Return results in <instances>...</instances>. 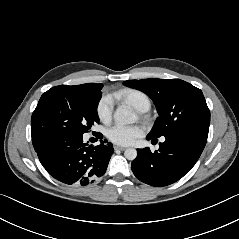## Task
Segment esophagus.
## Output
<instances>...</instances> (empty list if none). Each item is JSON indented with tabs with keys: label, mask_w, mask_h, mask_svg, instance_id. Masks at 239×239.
Masks as SVG:
<instances>
[{
	"label": "esophagus",
	"mask_w": 239,
	"mask_h": 239,
	"mask_svg": "<svg viewBox=\"0 0 239 239\" xmlns=\"http://www.w3.org/2000/svg\"><path fill=\"white\" fill-rule=\"evenodd\" d=\"M114 148L115 150H121V151H124L126 149L125 147H121V146H115Z\"/></svg>",
	"instance_id": "obj_1"
}]
</instances>
